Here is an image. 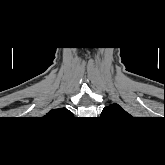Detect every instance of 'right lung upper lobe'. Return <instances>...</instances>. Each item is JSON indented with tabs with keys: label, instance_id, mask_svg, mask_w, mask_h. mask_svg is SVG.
Here are the masks:
<instances>
[{
	"label": "right lung upper lobe",
	"instance_id": "right-lung-upper-lobe-1",
	"mask_svg": "<svg viewBox=\"0 0 165 165\" xmlns=\"http://www.w3.org/2000/svg\"><path fill=\"white\" fill-rule=\"evenodd\" d=\"M72 115V113L65 109V108H59V109H53L50 110L47 114H46V118H60L61 116H70Z\"/></svg>",
	"mask_w": 165,
	"mask_h": 165
}]
</instances>
